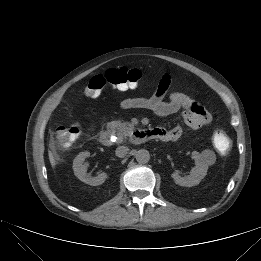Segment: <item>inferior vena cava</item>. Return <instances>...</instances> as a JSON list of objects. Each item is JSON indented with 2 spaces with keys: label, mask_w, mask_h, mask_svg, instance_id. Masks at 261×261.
<instances>
[{
  "label": "inferior vena cava",
  "mask_w": 261,
  "mask_h": 261,
  "mask_svg": "<svg viewBox=\"0 0 261 261\" xmlns=\"http://www.w3.org/2000/svg\"><path fill=\"white\" fill-rule=\"evenodd\" d=\"M129 152V148L126 146H119L116 148L115 154L117 157L123 158L125 157Z\"/></svg>",
  "instance_id": "602c4592"
}]
</instances>
